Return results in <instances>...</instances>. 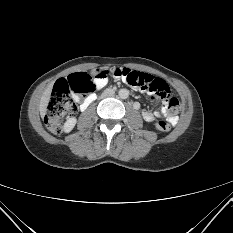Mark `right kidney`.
<instances>
[{"instance_id":"obj_1","label":"right kidney","mask_w":233,"mask_h":233,"mask_svg":"<svg viewBox=\"0 0 233 233\" xmlns=\"http://www.w3.org/2000/svg\"><path fill=\"white\" fill-rule=\"evenodd\" d=\"M77 119L75 117L69 118L64 124V131L70 132L76 125Z\"/></svg>"}]
</instances>
